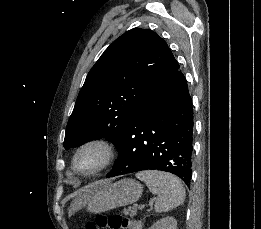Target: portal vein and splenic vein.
<instances>
[{
	"instance_id": "portal-vein-and-splenic-vein-1",
	"label": "portal vein and splenic vein",
	"mask_w": 261,
	"mask_h": 229,
	"mask_svg": "<svg viewBox=\"0 0 261 229\" xmlns=\"http://www.w3.org/2000/svg\"><path fill=\"white\" fill-rule=\"evenodd\" d=\"M149 205H152V203H149ZM133 207L138 208V209H144V207H146V205H141L140 203H134Z\"/></svg>"
}]
</instances>
